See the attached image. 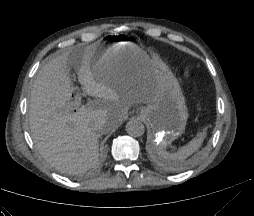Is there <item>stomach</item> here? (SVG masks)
<instances>
[{
    "label": "stomach",
    "mask_w": 254,
    "mask_h": 216,
    "mask_svg": "<svg viewBox=\"0 0 254 216\" xmlns=\"http://www.w3.org/2000/svg\"><path fill=\"white\" fill-rule=\"evenodd\" d=\"M97 43L93 63L98 74L143 68L152 72L153 94L140 116L151 128L152 145L165 150L184 133L188 118L178 80L158 56L149 57L125 36H107Z\"/></svg>",
    "instance_id": "obj_1"
}]
</instances>
